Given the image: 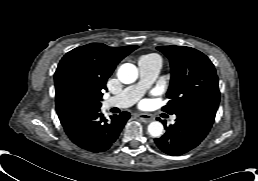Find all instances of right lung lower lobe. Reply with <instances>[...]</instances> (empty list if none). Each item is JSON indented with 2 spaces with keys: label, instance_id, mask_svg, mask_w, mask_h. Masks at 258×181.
<instances>
[{
  "label": "right lung lower lobe",
  "instance_id": "1",
  "mask_svg": "<svg viewBox=\"0 0 258 181\" xmlns=\"http://www.w3.org/2000/svg\"><path fill=\"white\" fill-rule=\"evenodd\" d=\"M58 117L70 140L90 152H104L118 138L130 115L122 112L106 119L100 108L71 109L58 113Z\"/></svg>",
  "mask_w": 258,
  "mask_h": 181
}]
</instances>
